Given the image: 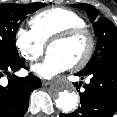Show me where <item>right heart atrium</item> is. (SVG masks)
<instances>
[{
  "mask_svg": "<svg viewBox=\"0 0 117 117\" xmlns=\"http://www.w3.org/2000/svg\"><path fill=\"white\" fill-rule=\"evenodd\" d=\"M14 44L21 57L29 62L37 61L45 51V43L32 29L24 27L17 29Z\"/></svg>",
  "mask_w": 117,
  "mask_h": 117,
  "instance_id": "1",
  "label": "right heart atrium"
}]
</instances>
